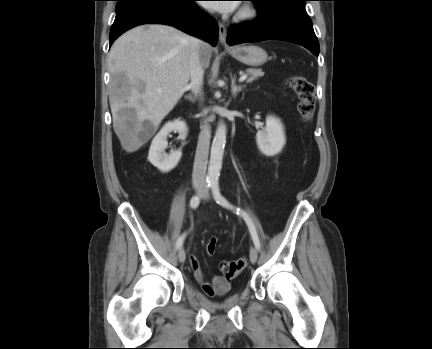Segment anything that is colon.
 Returning a JSON list of instances; mask_svg holds the SVG:
<instances>
[{"label": "colon", "instance_id": "1", "mask_svg": "<svg viewBox=\"0 0 432 349\" xmlns=\"http://www.w3.org/2000/svg\"><path fill=\"white\" fill-rule=\"evenodd\" d=\"M287 85L296 93L298 97V112L304 121H310L315 111V88L314 85L305 77L291 76L287 80ZM217 248V240L212 238L207 244V253L213 255ZM247 266L245 258L223 261L220 265L223 277L231 280L240 274Z\"/></svg>", "mask_w": 432, "mask_h": 349}]
</instances>
